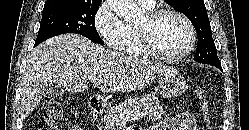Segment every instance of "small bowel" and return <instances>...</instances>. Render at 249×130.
<instances>
[{
	"label": "small bowel",
	"mask_w": 249,
	"mask_h": 130,
	"mask_svg": "<svg viewBox=\"0 0 249 130\" xmlns=\"http://www.w3.org/2000/svg\"><path fill=\"white\" fill-rule=\"evenodd\" d=\"M66 130H83L69 124ZM149 130H199L195 116L190 112L177 113L153 125Z\"/></svg>",
	"instance_id": "obj_1"
}]
</instances>
